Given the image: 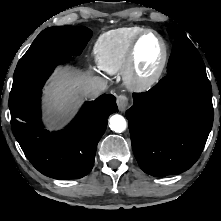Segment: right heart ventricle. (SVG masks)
I'll return each instance as SVG.
<instances>
[{"label":"right heart ventricle","mask_w":221,"mask_h":221,"mask_svg":"<svg viewBox=\"0 0 221 221\" xmlns=\"http://www.w3.org/2000/svg\"><path fill=\"white\" fill-rule=\"evenodd\" d=\"M143 30L144 27L127 26L101 34L94 46L98 66L109 74L123 71L130 46Z\"/></svg>","instance_id":"right-heart-ventricle-1"}]
</instances>
